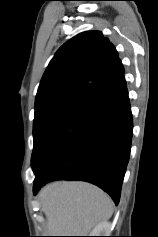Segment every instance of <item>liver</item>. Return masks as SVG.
<instances>
[{
  "label": "liver",
  "instance_id": "6515ba94",
  "mask_svg": "<svg viewBox=\"0 0 158 237\" xmlns=\"http://www.w3.org/2000/svg\"><path fill=\"white\" fill-rule=\"evenodd\" d=\"M39 196L49 236H87L113 214L111 198L85 182H53Z\"/></svg>",
  "mask_w": 158,
  "mask_h": 237
}]
</instances>
